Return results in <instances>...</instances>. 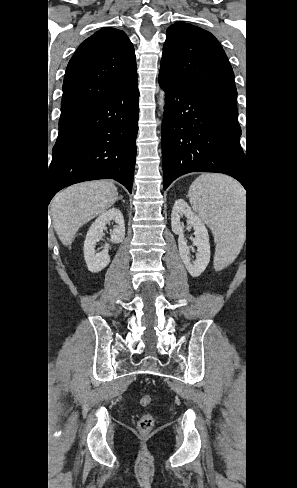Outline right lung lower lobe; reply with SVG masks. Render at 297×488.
Instances as JSON below:
<instances>
[{
  "label": "right lung lower lobe",
  "instance_id": "1",
  "mask_svg": "<svg viewBox=\"0 0 297 488\" xmlns=\"http://www.w3.org/2000/svg\"><path fill=\"white\" fill-rule=\"evenodd\" d=\"M137 76L108 96L59 121L47 198L69 185L114 179L131 193L138 131Z\"/></svg>",
  "mask_w": 297,
  "mask_h": 488
}]
</instances>
